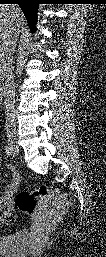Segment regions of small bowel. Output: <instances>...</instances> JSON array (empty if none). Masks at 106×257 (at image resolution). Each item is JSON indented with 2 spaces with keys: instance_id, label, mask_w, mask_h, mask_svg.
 I'll return each mask as SVG.
<instances>
[{
  "instance_id": "obj_1",
  "label": "small bowel",
  "mask_w": 106,
  "mask_h": 257,
  "mask_svg": "<svg viewBox=\"0 0 106 257\" xmlns=\"http://www.w3.org/2000/svg\"><path fill=\"white\" fill-rule=\"evenodd\" d=\"M11 169V180L9 184L7 185V191L1 195L0 199V216L1 221L4 223H11L13 222V210L11 206V194L17 189L18 184L20 182V175L16 170H14L12 167Z\"/></svg>"
}]
</instances>
